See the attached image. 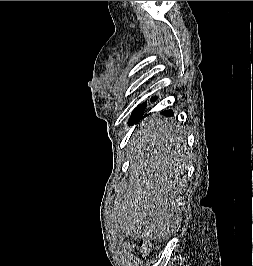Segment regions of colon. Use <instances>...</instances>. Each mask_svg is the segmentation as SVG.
<instances>
[{"label": "colon", "instance_id": "5ec220e1", "mask_svg": "<svg viewBox=\"0 0 253 266\" xmlns=\"http://www.w3.org/2000/svg\"><path fill=\"white\" fill-rule=\"evenodd\" d=\"M136 248L142 253H147L152 249V245L151 242H138Z\"/></svg>", "mask_w": 253, "mask_h": 266}]
</instances>
